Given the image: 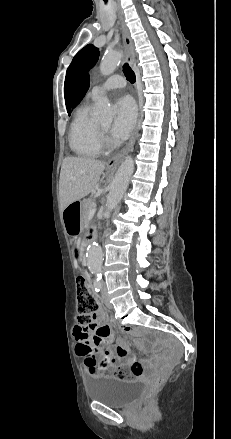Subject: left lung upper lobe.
Here are the masks:
<instances>
[{
    "label": "left lung upper lobe",
    "instance_id": "5c2ea615",
    "mask_svg": "<svg viewBox=\"0 0 231 439\" xmlns=\"http://www.w3.org/2000/svg\"><path fill=\"white\" fill-rule=\"evenodd\" d=\"M98 57L99 50L94 45L88 44L74 56L68 67L64 83V96L69 115L77 86L82 76L96 64Z\"/></svg>",
    "mask_w": 231,
    "mask_h": 439
}]
</instances>
